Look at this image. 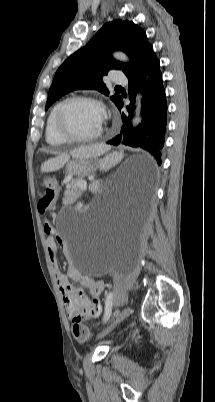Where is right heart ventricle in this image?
<instances>
[{"label":"right heart ventricle","mask_w":215,"mask_h":402,"mask_svg":"<svg viewBox=\"0 0 215 402\" xmlns=\"http://www.w3.org/2000/svg\"><path fill=\"white\" fill-rule=\"evenodd\" d=\"M60 103L61 102H58L52 107L46 121L45 139L46 142L52 146H61L68 142L66 139L60 136L55 127V115Z\"/></svg>","instance_id":"right-heart-ventricle-1"}]
</instances>
